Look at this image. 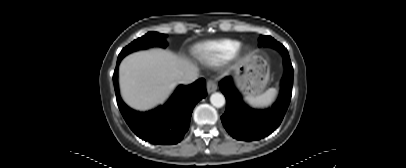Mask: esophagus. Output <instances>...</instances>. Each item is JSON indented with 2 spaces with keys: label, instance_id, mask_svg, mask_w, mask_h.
I'll return each instance as SVG.
<instances>
[{
  "label": "esophagus",
  "instance_id": "esophagus-1",
  "mask_svg": "<svg viewBox=\"0 0 406 168\" xmlns=\"http://www.w3.org/2000/svg\"><path fill=\"white\" fill-rule=\"evenodd\" d=\"M217 87H218L217 83L214 80L209 79L207 81V92L209 94L212 93V92H215L217 90Z\"/></svg>",
  "mask_w": 406,
  "mask_h": 168
}]
</instances>
